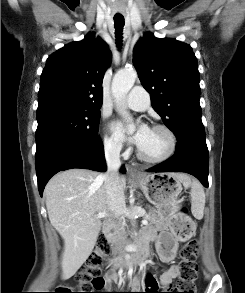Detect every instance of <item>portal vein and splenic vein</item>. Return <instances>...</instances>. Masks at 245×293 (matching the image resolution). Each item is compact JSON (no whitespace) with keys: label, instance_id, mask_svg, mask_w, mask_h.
Wrapping results in <instances>:
<instances>
[{"label":"portal vein and splenic vein","instance_id":"obj_1","mask_svg":"<svg viewBox=\"0 0 245 293\" xmlns=\"http://www.w3.org/2000/svg\"><path fill=\"white\" fill-rule=\"evenodd\" d=\"M105 216H107V213L106 212H102V213L97 214V217L98 218H103ZM142 224L143 225H147L148 224V221L146 219H144V220H142Z\"/></svg>","mask_w":245,"mask_h":293}]
</instances>
